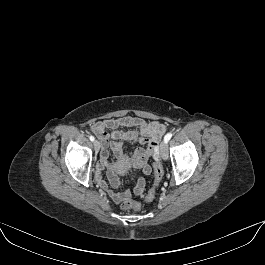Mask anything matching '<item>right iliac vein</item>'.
<instances>
[{
	"mask_svg": "<svg viewBox=\"0 0 265 265\" xmlns=\"http://www.w3.org/2000/svg\"><path fill=\"white\" fill-rule=\"evenodd\" d=\"M93 145H94V149H95V151L98 152L99 149H100V142H99L98 140H95V141L93 142Z\"/></svg>",
	"mask_w": 265,
	"mask_h": 265,
	"instance_id": "obj_1",
	"label": "right iliac vein"
}]
</instances>
